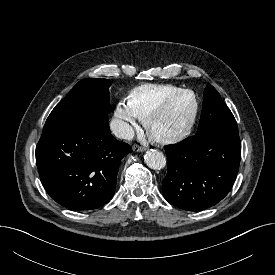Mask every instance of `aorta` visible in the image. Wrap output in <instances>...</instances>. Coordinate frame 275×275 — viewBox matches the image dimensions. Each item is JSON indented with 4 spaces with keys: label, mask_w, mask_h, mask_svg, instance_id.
<instances>
[{
    "label": "aorta",
    "mask_w": 275,
    "mask_h": 275,
    "mask_svg": "<svg viewBox=\"0 0 275 275\" xmlns=\"http://www.w3.org/2000/svg\"><path fill=\"white\" fill-rule=\"evenodd\" d=\"M146 165L154 170H160L166 165V157L158 150H148L144 155Z\"/></svg>",
    "instance_id": "762f6f07"
}]
</instances>
